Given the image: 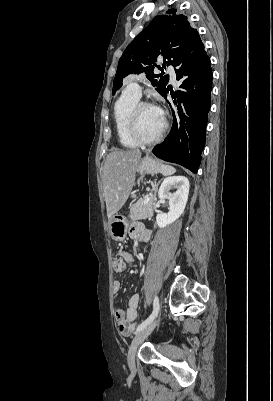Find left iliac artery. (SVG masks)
<instances>
[{
	"label": "left iliac artery",
	"mask_w": 273,
	"mask_h": 401,
	"mask_svg": "<svg viewBox=\"0 0 273 401\" xmlns=\"http://www.w3.org/2000/svg\"><path fill=\"white\" fill-rule=\"evenodd\" d=\"M159 310H160L159 299H158L157 296H155L154 297V301H153V312H152V314L137 327L136 332H139L140 330H142L145 327H147L155 319V317L157 316Z\"/></svg>",
	"instance_id": "44dca946"
}]
</instances>
